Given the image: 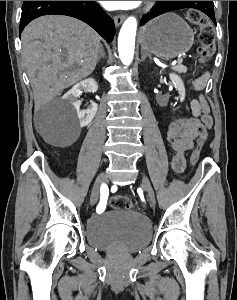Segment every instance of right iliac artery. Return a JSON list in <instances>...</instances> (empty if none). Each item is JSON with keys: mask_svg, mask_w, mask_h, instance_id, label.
<instances>
[{"mask_svg": "<svg viewBox=\"0 0 237 300\" xmlns=\"http://www.w3.org/2000/svg\"><path fill=\"white\" fill-rule=\"evenodd\" d=\"M100 193H101V198H100V202L96 208V211L104 210L106 207L107 198H108V190H107L106 184L101 185Z\"/></svg>", "mask_w": 237, "mask_h": 300, "instance_id": "82829eb1", "label": "right iliac artery"}]
</instances>
